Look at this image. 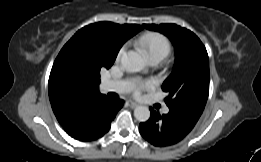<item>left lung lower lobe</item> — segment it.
I'll return each instance as SVG.
<instances>
[{"instance_id":"obj_1","label":"left lung lower lobe","mask_w":261,"mask_h":162,"mask_svg":"<svg viewBox=\"0 0 261 162\" xmlns=\"http://www.w3.org/2000/svg\"><path fill=\"white\" fill-rule=\"evenodd\" d=\"M169 109L168 114L160 115L150 108L149 120L139 125L141 135L154 146L178 143L191 132L200 117L183 107Z\"/></svg>"}]
</instances>
